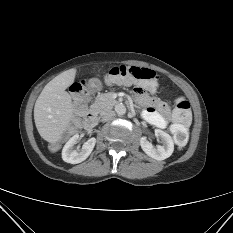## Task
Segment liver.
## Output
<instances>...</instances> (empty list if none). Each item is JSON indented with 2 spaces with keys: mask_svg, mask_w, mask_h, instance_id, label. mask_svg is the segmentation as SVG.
Wrapping results in <instances>:
<instances>
[{
  "mask_svg": "<svg viewBox=\"0 0 233 233\" xmlns=\"http://www.w3.org/2000/svg\"><path fill=\"white\" fill-rule=\"evenodd\" d=\"M76 69L62 72L43 88L34 106V121L40 136L59 142L74 119V105L66 89L74 82Z\"/></svg>",
  "mask_w": 233,
  "mask_h": 233,
  "instance_id": "1",
  "label": "liver"
}]
</instances>
